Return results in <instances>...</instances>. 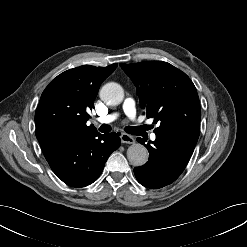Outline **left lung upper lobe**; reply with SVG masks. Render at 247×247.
<instances>
[{
	"instance_id": "obj_1",
	"label": "left lung upper lobe",
	"mask_w": 247,
	"mask_h": 247,
	"mask_svg": "<svg viewBox=\"0 0 247 247\" xmlns=\"http://www.w3.org/2000/svg\"><path fill=\"white\" fill-rule=\"evenodd\" d=\"M137 88L147 118L159 127L156 135H183L198 140L201 110L196 88L181 70L163 61L120 64Z\"/></svg>"
}]
</instances>
